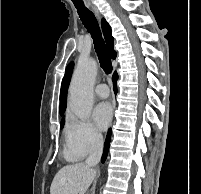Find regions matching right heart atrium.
<instances>
[{
	"mask_svg": "<svg viewBox=\"0 0 201 194\" xmlns=\"http://www.w3.org/2000/svg\"><path fill=\"white\" fill-rule=\"evenodd\" d=\"M65 134L66 152L72 158H84L103 143L102 134L89 120L71 118Z\"/></svg>",
	"mask_w": 201,
	"mask_h": 194,
	"instance_id": "obj_1",
	"label": "right heart atrium"
}]
</instances>
